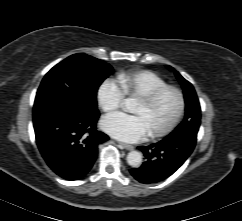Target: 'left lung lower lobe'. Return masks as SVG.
I'll return each instance as SVG.
<instances>
[{
  "label": "left lung lower lobe",
  "mask_w": 242,
  "mask_h": 221,
  "mask_svg": "<svg viewBox=\"0 0 242 221\" xmlns=\"http://www.w3.org/2000/svg\"><path fill=\"white\" fill-rule=\"evenodd\" d=\"M197 135L167 136L156 144L140 146L146 161L130 169L132 176L144 184L157 183L177 171L192 153Z\"/></svg>",
  "instance_id": "left-lung-lower-lobe-1"
}]
</instances>
